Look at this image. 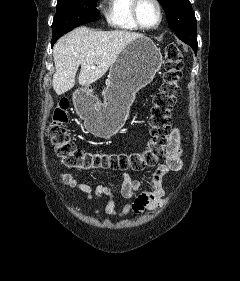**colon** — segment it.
Listing matches in <instances>:
<instances>
[{"instance_id": "obj_1", "label": "colon", "mask_w": 240, "mask_h": 281, "mask_svg": "<svg viewBox=\"0 0 240 281\" xmlns=\"http://www.w3.org/2000/svg\"><path fill=\"white\" fill-rule=\"evenodd\" d=\"M182 52L175 43L165 49L164 77L160 89L153 95L149 115L150 140L137 152H92L79 148L71 139L67 99L56 107L49 127V139L54 153L68 168L83 171L96 169L140 171L154 166L166 156L171 132L170 113L179 95L182 76Z\"/></svg>"}]
</instances>
